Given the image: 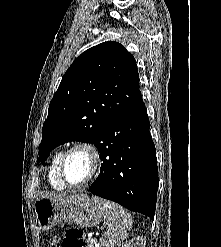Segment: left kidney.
<instances>
[{
  "mask_svg": "<svg viewBox=\"0 0 221 247\" xmlns=\"http://www.w3.org/2000/svg\"><path fill=\"white\" fill-rule=\"evenodd\" d=\"M145 245V239L143 237H137L125 242L121 247H145Z\"/></svg>",
  "mask_w": 221,
  "mask_h": 247,
  "instance_id": "obj_1",
  "label": "left kidney"
}]
</instances>
